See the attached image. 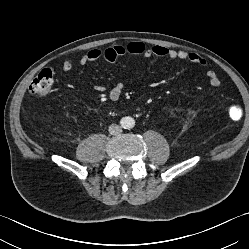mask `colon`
Returning <instances> with one entry per match:
<instances>
[{"label": "colon", "instance_id": "obj_1", "mask_svg": "<svg viewBox=\"0 0 249 249\" xmlns=\"http://www.w3.org/2000/svg\"><path fill=\"white\" fill-rule=\"evenodd\" d=\"M54 84V73L51 69L46 68L41 70L37 76L32 80L29 90L32 94L38 96L47 95ZM241 109L239 107H232L230 109V115L233 119H237L241 116Z\"/></svg>", "mask_w": 249, "mask_h": 249}]
</instances>
